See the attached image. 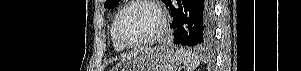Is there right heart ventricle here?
I'll list each match as a JSON object with an SVG mask.
<instances>
[{
	"label": "right heart ventricle",
	"instance_id": "right-heart-ventricle-1",
	"mask_svg": "<svg viewBox=\"0 0 301 71\" xmlns=\"http://www.w3.org/2000/svg\"><path fill=\"white\" fill-rule=\"evenodd\" d=\"M116 16L113 19V22H112L111 27H110V35H111V40H112V43H113V46H114L115 50H117V51H123V50H125V47L117 40L116 35H115V20H116Z\"/></svg>",
	"mask_w": 301,
	"mask_h": 71
}]
</instances>
